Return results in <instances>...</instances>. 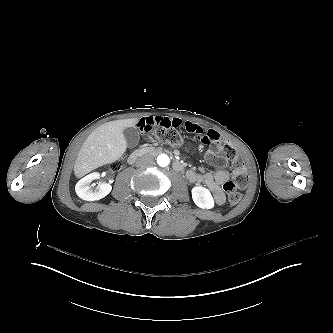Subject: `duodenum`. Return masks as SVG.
Segmentation results:
<instances>
[{"instance_id": "1", "label": "duodenum", "mask_w": 333, "mask_h": 333, "mask_svg": "<svg viewBox=\"0 0 333 333\" xmlns=\"http://www.w3.org/2000/svg\"><path fill=\"white\" fill-rule=\"evenodd\" d=\"M154 152H164L162 149H149V148H140L134 150L127 158L129 164H134L140 157L154 153ZM173 167L177 171H181L183 169V165L180 161L174 160Z\"/></svg>"}]
</instances>
